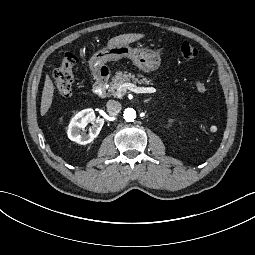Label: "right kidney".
<instances>
[{
	"mask_svg": "<svg viewBox=\"0 0 255 255\" xmlns=\"http://www.w3.org/2000/svg\"><path fill=\"white\" fill-rule=\"evenodd\" d=\"M88 123L93 124V128L90 129L89 134H81ZM103 124V118H97L92 109H86L72 119L68 129V137L78 144H89L98 136Z\"/></svg>",
	"mask_w": 255,
	"mask_h": 255,
	"instance_id": "right-kidney-1",
	"label": "right kidney"
}]
</instances>
